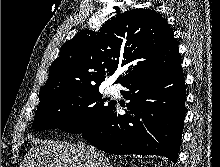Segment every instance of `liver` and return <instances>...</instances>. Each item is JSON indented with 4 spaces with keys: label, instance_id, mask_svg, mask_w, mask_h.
<instances>
[{
    "label": "liver",
    "instance_id": "obj_1",
    "mask_svg": "<svg viewBox=\"0 0 220 167\" xmlns=\"http://www.w3.org/2000/svg\"><path fill=\"white\" fill-rule=\"evenodd\" d=\"M112 167L103 153L92 146L66 142L36 141L19 167Z\"/></svg>",
    "mask_w": 220,
    "mask_h": 167
}]
</instances>
